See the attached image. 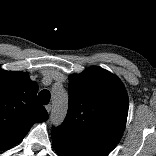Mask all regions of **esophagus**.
I'll use <instances>...</instances> for the list:
<instances>
[{
    "label": "esophagus",
    "mask_w": 156,
    "mask_h": 156,
    "mask_svg": "<svg viewBox=\"0 0 156 156\" xmlns=\"http://www.w3.org/2000/svg\"><path fill=\"white\" fill-rule=\"evenodd\" d=\"M45 108H46L47 112L50 113L51 109H52V105L48 104V105L45 106Z\"/></svg>",
    "instance_id": "obj_1"
}]
</instances>
